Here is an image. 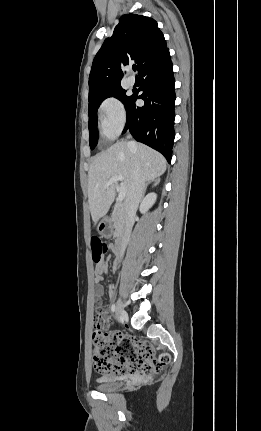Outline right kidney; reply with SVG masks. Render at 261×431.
Segmentation results:
<instances>
[{
	"mask_svg": "<svg viewBox=\"0 0 261 431\" xmlns=\"http://www.w3.org/2000/svg\"><path fill=\"white\" fill-rule=\"evenodd\" d=\"M156 199H157V195L154 192L149 193L142 200V203L140 205V211H141V213H143V214L146 213L149 210V208H151L152 205L155 203Z\"/></svg>",
	"mask_w": 261,
	"mask_h": 431,
	"instance_id": "ca27d5eb",
	"label": "right kidney"
}]
</instances>
